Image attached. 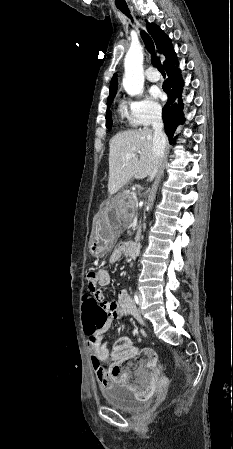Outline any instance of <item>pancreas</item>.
Instances as JSON below:
<instances>
[{"label": "pancreas", "instance_id": "pancreas-1", "mask_svg": "<svg viewBox=\"0 0 233 449\" xmlns=\"http://www.w3.org/2000/svg\"><path fill=\"white\" fill-rule=\"evenodd\" d=\"M121 198H122V200L119 202L120 214L124 218H129V217L134 216V213L136 210L134 197L132 195L128 194V195H122ZM124 200H127V202H125Z\"/></svg>", "mask_w": 233, "mask_h": 449}]
</instances>
